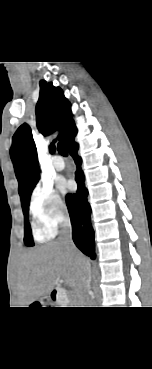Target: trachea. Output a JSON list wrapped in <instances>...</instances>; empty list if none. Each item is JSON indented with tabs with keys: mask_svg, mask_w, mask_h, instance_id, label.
<instances>
[{
	"mask_svg": "<svg viewBox=\"0 0 152 369\" xmlns=\"http://www.w3.org/2000/svg\"><path fill=\"white\" fill-rule=\"evenodd\" d=\"M57 149L62 156H68L67 148L63 142L58 143Z\"/></svg>",
	"mask_w": 152,
	"mask_h": 369,
	"instance_id": "3493384b",
	"label": "trachea"
}]
</instances>
